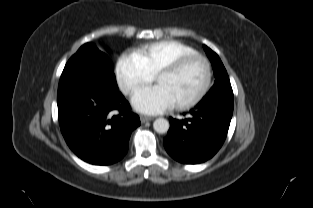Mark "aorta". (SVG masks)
Instances as JSON below:
<instances>
[{
  "instance_id": "762f6f07",
  "label": "aorta",
  "mask_w": 313,
  "mask_h": 208,
  "mask_svg": "<svg viewBox=\"0 0 313 208\" xmlns=\"http://www.w3.org/2000/svg\"><path fill=\"white\" fill-rule=\"evenodd\" d=\"M169 127V122L164 118H157L153 123L154 130L160 134L166 133Z\"/></svg>"
}]
</instances>
